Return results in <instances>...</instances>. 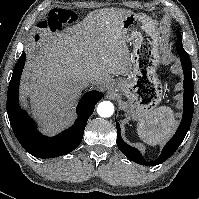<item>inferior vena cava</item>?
I'll return each instance as SVG.
<instances>
[{
	"instance_id": "obj_1",
	"label": "inferior vena cava",
	"mask_w": 199,
	"mask_h": 199,
	"mask_svg": "<svg viewBox=\"0 0 199 199\" xmlns=\"http://www.w3.org/2000/svg\"><path fill=\"white\" fill-rule=\"evenodd\" d=\"M83 83H84L85 86H88L90 84H95L96 83V78L87 77L86 79L83 80Z\"/></svg>"
}]
</instances>
